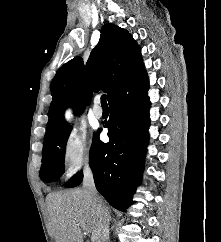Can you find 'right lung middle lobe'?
I'll use <instances>...</instances> for the list:
<instances>
[{
    "label": "right lung middle lobe",
    "instance_id": "right-lung-middle-lobe-1",
    "mask_svg": "<svg viewBox=\"0 0 221 242\" xmlns=\"http://www.w3.org/2000/svg\"><path fill=\"white\" fill-rule=\"evenodd\" d=\"M70 131L71 127H67L60 133L44 139L40 169L41 180L53 182L64 173L65 146Z\"/></svg>",
    "mask_w": 221,
    "mask_h": 242
}]
</instances>
